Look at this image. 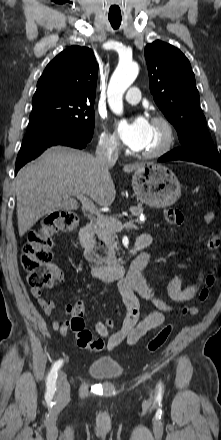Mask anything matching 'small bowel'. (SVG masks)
I'll return each instance as SVG.
<instances>
[{
  "instance_id": "obj_1",
  "label": "small bowel",
  "mask_w": 221,
  "mask_h": 440,
  "mask_svg": "<svg viewBox=\"0 0 221 440\" xmlns=\"http://www.w3.org/2000/svg\"><path fill=\"white\" fill-rule=\"evenodd\" d=\"M137 242L145 243L144 248H146L151 244L152 238L148 234H142ZM143 258L149 259V254H141L133 262L128 274L117 282L118 292L126 308V316L121 328L115 332H111V329H107L103 321H99L95 325L98 335L107 341L109 350L115 349L122 342H126L128 345L135 344L146 333L163 325L166 313L174 309L172 305L157 298L145 277L141 272L136 271L134 264ZM200 283L201 275L195 283L183 286L182 273L176 274L168 284V294L175 302H188L197 292ZM30 292L38 306L42 308L44 314L46 316H52L56 307L54 302L44 297L40 290L31 288ZM138 297L149 301L155 307L154 311L148 313L143 318H141ZM73 310V304H66L64 307L65 318L62 321L52 320L51 322L52 329L58 331L61 336H66L68 333ZM196 311V309L191 310L192 313H196Z\"/></svg>"
}]
</instances>
